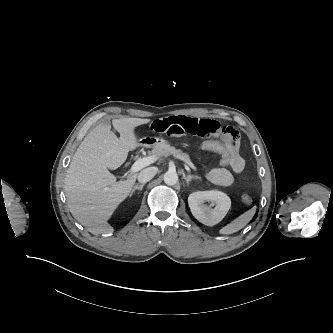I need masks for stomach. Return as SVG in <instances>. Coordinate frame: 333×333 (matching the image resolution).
<instances>
[{"label":"stomach","instance_id":"1","mask_svg":"<svg viewBox=\"0 0 333 333\" xmlns=\"http://www.w3.org/2000/svg\"><path fill=\"white\" fill-rule=\"evenodd\" d=\"M167 141L165 139L162 138H158V137H149L146 139V145L148 146H156L159 144H163L166 143Z\"/></svg>","mask_w":333,"mask_h":333}]
</instances>
